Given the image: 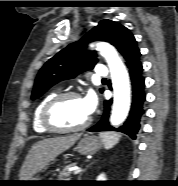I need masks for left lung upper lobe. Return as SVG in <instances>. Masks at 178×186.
Returning a JSON list of instances; mask_svg holds the SVG:
<instances>
[{
  "label": "left lung upper lobe",
  "mask_w": 178,
  "mask_h": 186,
  "mask_svg": "<svg viewBox=\"0 0 178 186\" xmlns=\"http://www.w3.org/2000/svg\"><path fill=\"white\" fill-rule=\"evenodd\" d=\"M96 40L106 41L115 46L126 63L140 53L134 36L126 27L111 20H102L80 41L62 49L44 64L36 77L31 98L37 99L54 84L92 69L98 61L96 52L83 51L81 48Z\"/></svg>",
  "instance_id": "5c2ea615"
}]
</instances>
